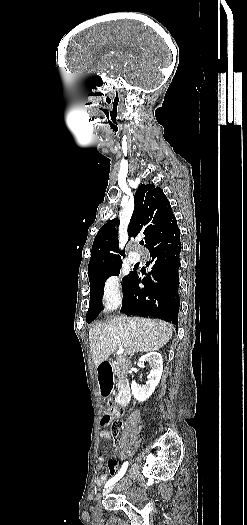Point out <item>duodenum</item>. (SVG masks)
Instances as JSON below:
<instances>
[{
    "label": "duodenum",
    "mask_w": 247,
    "mask_h": 525,
    "mask_svg": "<svg viewBox=\"0 0 247 525\" xmlns=\"http://www.w3.org/2000/svg\"><path fill=\"white\" fill-rule=\"evenodd\" d=\"M97 378L102 396H109L113 389V364L110 361H102L97 367ZM131 398L128 381H123L115 402L118 406H125Z\"/></svg>",
    "instance_id": "duodenum-1"
}]
</instances>
